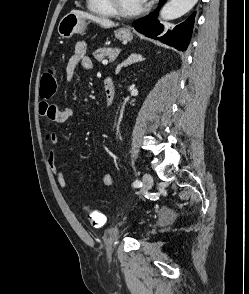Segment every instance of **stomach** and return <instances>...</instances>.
Listing matches in <instances>:
<instances>
[{
	"mask_svg": "<svg viewBox=\"0 0 249 294\" xmlns=\"http://www.w3.org/2000/svg\"><path fill=\"white\" fill-rule=\"evenodd\" d=\"M86 27V19L71 11L60 20L58 33L62 38L69 39L76 33H83ZM114 34L115 37L121 41H130L133 38L130 29L126 27L119 28Z\"/></svg>",
	"mask_w": 249,
	"mask_h": 294,
	"instance_id": "stomach-1",
	"label": "stomach"
}]
</instances>
